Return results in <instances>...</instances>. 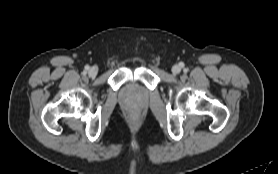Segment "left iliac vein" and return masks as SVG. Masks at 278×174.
<instances>
[{"mask_svg":"<svg viewBox=\"0 0 278 174\" xmlns=\"http://www.w3.org/2000/svg\"><path fill=\"white\" fill-rule=\"evenodd\" d=\"M180 71H181V68H180L178 65H174V66L172 67V72H173L174 74H178V73H180Z\"/></svg>","mask_w":278,"mask_h":174,"instance_id":"obj_1","label":"left iliac vein"}]
</instances>
